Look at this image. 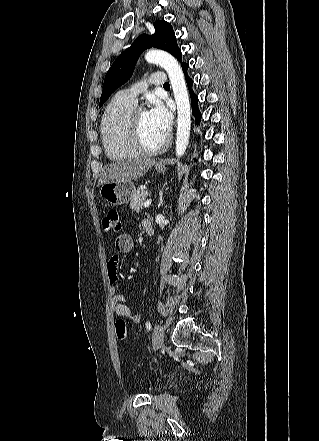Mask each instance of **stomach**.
I'll use <instances>...</instances> for the list:
<instances>
[{"instance_id":"stomach-1","label":"stomach","mask_w":319,"mask_h":441,"mask_svg":"<svg viewBox=\"0 0 319 441\" xmlns=\"http://www.w3.org/2000/svg\"><path fill=\"white\" fill-rule=\"evenodd\" d=\"M155 169L159 173H164L166 167L156 165ZM136 190L131 181H112L105 183L100 188V196L109 205H123L131 201Z\"/></svg>"}]
</instances>
